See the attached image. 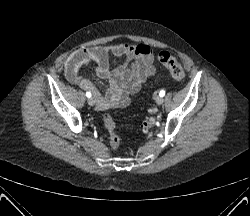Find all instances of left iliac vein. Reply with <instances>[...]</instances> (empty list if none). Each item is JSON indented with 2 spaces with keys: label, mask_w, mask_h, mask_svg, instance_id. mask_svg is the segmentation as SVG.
<instances>
[{
  "label": "left iliac vein",
  "mask_w": 250,
  "mask_h": 216,
  "mask_svg": "<svg viewBox=\"0 0 250 216\" xmlns=\"http://www.w3.org/2000/svg\"><path fill=\"white\" fill-rule=\"evenodd\" d=\"M155 101L158 105H161L163 102H164V99L162 96L158 95L156 98H155Z\"/></svg>",
  "instance_id": "4c4485c4"
}]
</instances>
